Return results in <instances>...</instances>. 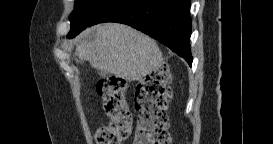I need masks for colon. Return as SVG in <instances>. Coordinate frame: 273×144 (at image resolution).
<instances>
[{
	"mask_svg": "<svg viewBox=\"0 0 273 144\" xmlns=\"http://www.w3.org/2000/svg\"><path fill=\"white\" fill-rule=\"evenodd\" d=\"M172 74L163 63L152 70L136 89L138 125L136 144H170L167 106L172 98ZM126 82L111 77L100 80L96 90L108 122L96 131L98 144H120L131 132L132 117L125 99Z\"/></svg>",
	"mask_w": 273,
	"mask_h": 144,
	"instance_id": "colon-1",
	"label": "colon"
}]
</instances>
